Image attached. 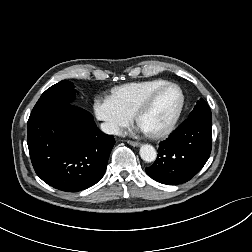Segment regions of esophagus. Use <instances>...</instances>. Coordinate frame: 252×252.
I'll return each instance as SVG.
<instances>
[{"label": "esophagus", "mask_w": 252, "mask_h": 252, "mask_svg": "<svg viewBox=\"0 0 252 252\" xmlns=\"http://www.w3.org/2000/svg\"><path fill=\"white\" fill-rule=\"evenodd\" d=\"M127 143L134 147L140 146V143L138 141L128 140Z\"/></svg>", "instance_id": "obj_1"}]
</instances>
